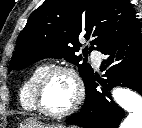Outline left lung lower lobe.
Masks as SVG:
<instances>
[{"mask_svg": "<svg viewBox=\"0 0 142 128\" xmlns=\"http://www.w3.org/2000/svg\"><path fill=\"white\" fill-rule=\"evenodd\" d=\"M105 58L101 70L105 79L94 74L85 84L86 98L81 111L66 122L83 128H118L124 111L111 98L114 86L128 87L142 96V34L139 24L128 34L112 41L101 50ZM98 81L101 92L96 90Z\"/></svg>", "mask_w": 142, "mask_h": 128, "instance_id": "obj_1", "label": "left lung lower lobe"}]
</instances>
